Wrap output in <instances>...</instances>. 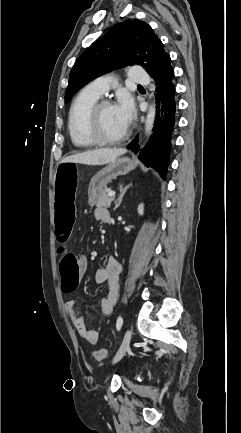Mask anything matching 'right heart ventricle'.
<instances>
[{"instance_id":"right-heart-ventricle-1","label":"right heart ventricle","mask_w":241,"mask_h":433,"mask_svg":"<svg viewBox=\"0 0 241 433\" xmlns=\"http://www.w3.org/2000/svg\"><path fill=\"white\" fill-rule=\"evenodd\" d=\"M99 96L84 88L74 99L68 117V130L72 144L79 149H87L96 145L86 128L90 109L98 101Z\"/></svg>"}]
</instances>
